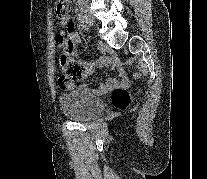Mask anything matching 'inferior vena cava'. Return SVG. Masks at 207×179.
<instances>
[{
	"label": "inferior vena cava",
	"mask_w": 207,
	"mask_h": 179,
	"mask_svg": "<svg viewBox=\"0 0 207 179\" xmlns=\"http://www.w3.org/2000/svg\"><path fill=\"white\" fill-rule=\"evenodd\" d=\"M88 0H78V2H87Z\"/></svg>",
	"instance_id": "602c4592"
}]
</instances>
